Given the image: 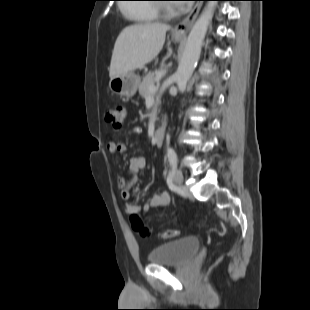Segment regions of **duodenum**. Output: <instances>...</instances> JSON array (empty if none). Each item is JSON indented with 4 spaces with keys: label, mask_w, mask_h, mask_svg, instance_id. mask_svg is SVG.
Returning a JSON list of instances; mask_svg holds the SVG:
<instances>
[{
    "label": "duodenum",
    "mask_w": 310,
    "mask_h": 310,
    "mask_svg": "<svg viewBox=\"0 0 310 310\" xmlns=\"http://www.w3.org/2000/svg\"><path fill=\"white\" fill-rule=\"evenodd\" d=\"M166 130L165 128H159L155 131L153 135V140L155 145L161 146L165 138Z\"/></svg>",
    "instance_id": "obj_1"
}]
</instances>
